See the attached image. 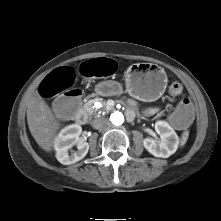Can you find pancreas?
<instances>
[{"mask_svg": "<svg viewBox=\"0 0 221 221\" xmlns=\"http://www.w3.org/2000/svg\"><path fill=\"white\" fill-rule=\"evenodd\" d=\"M97 100H100V101L102 102V104H103L104 106H106V101H104V100H102V99L96 98V99L90 100L89 102H87V103L84 105V109L86 110V112H87L89 115H92L93 113H95V112L98 110V109H96V108L93 107V103H94L95 101H97ZM116 102H120V103L125 104L124 101H122V100H116ZM126 102H127V103H130V100L127 99ZM130 104H131V103H130ZM131 105H132V104H131ZM132 108H134V107H132Z\"/></svg>", "mask_w": 221, "mask_h": 221, "instance_id": "1", "label": "pancreas"}]
</instances>
